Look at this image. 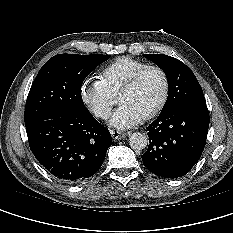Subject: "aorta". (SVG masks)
Returning a JSON list of instances; mask_svg holds the SVG:
<instances>
[{
    "label": "aorta",
    "instance_id": "762f6f07",
    "mask_svg": "<svg viewBox=\"0 0 233 233\" xmlns=\"http://www.w3.org/2000/svg\"><path fill=\"white\" fill-rule=\"evenodd\" d=\"M148 142V137L143 133L135 132L129 137V145L133 150L145 149Z\"/></svg>",
    "mask_w": 233,
    "mask_h": 233
}]
</instances>
